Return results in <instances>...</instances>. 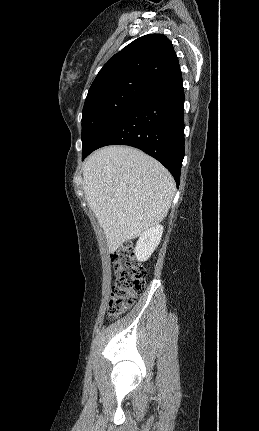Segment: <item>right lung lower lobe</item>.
I'll return each instance as SVG.
<instances>
[{
  "label": "right lung lower lobe",
  "instance_id": "98d812e1",
  "mask_svg": "<svg viewBox=\"0 0 259 431\" xmlns=\"http://www.w3.org/2000/svg\"><path fill=\"white\" fill-rule=\"evenodd\" d=\"M184 89L182 75L150 88L95 140L94 150L113 144L141 149L161 162L177 186L184 158Z\"/></svg>",
  "mask_w": 259,
  "mask_h": 431
}]
</instances>
